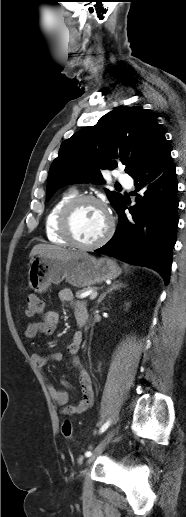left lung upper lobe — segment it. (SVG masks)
Wrapping results in <instances>:
<instances>
[{
    "label": "left lung upper lobe",
    "instance_id": "left-lung-upper-lobe-1",
    "mask_svg": "<svg viewBox=\"0 0 186 517\" xmlns=\"http://www.w3.org/2000/svg\"><path fill=\"white\" fill-rule=\"evenodd\" d=\"M163 138L156 117L139 106L107 113L96 125L83 128L61 144L49 170L46 199L67 184L102 183L103 169L123 164L131 175ZM106 193L115 209L124 201L120 193Z\"/></svg>",
    "mask_w": 186,
    "mask_h": 517
}]
</instances>
